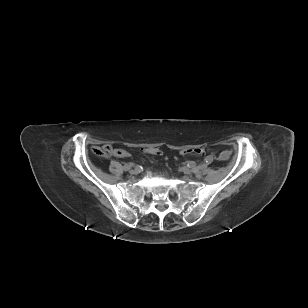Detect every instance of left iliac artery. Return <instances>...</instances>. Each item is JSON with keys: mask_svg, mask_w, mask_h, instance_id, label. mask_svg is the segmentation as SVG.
<instances>
[{"mask_svg": "<svg viewBox=\"0 0 308 308\" xmlns=\"http://www.w3.org/2000/svg\"><path fill=\"white\" fill-rule=\"evenodd\" d=\"M212 161H213V156L212 155H207L206 159L204 160V163L205 164H209Z\"/></svg>", "mask_w": 308, "mask_h": 308, "instance_id": "44dca946", "label": "left iliac artery"}]
</instances>
